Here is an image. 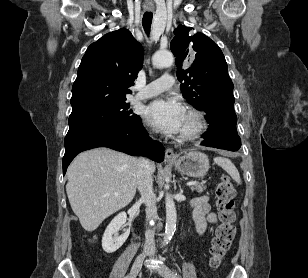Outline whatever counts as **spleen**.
<instances>
[{
    "label": "spleen",
    "instance_id": "spleen-1",
    "mask_svg": "<svg viewBox=\"0 0 308 278\" xmlns=\"http://www.w3.org/2000/svg\"><path fill=\"white\" fill-rule=\"evenodd\" d=\"M214 162L220 167H222L232 177V179L235 182L241 184L240 174L230 159L220 156V157H215Z\"/></svg>",
    "mask_w": 308,
    "mask_h": 278
}]
</instances>
